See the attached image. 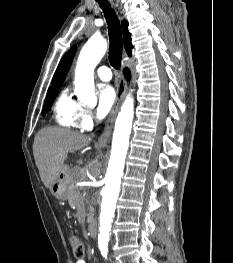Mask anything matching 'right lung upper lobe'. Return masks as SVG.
<instances>
[{
	"instance_id": "cb5924a9",
	"label": "right lung upper lobe",
	"mask_w": 233,
	"mask_h": 263,
	"mask_svg": "<svg viewBox=\"0 0 233 263\" xmlns=\"http://www.w3.org/2000/svg\"><path fill=\"white\" fill-rule=\"evenodd\" d=\"M128 27V22L127 21H123L122 22V31H123V39H124V46L126 49V52L128 53L129 56L132 55V44H131V35L127 30ZM76 51V47H73L60 61L56 72L53 76L52 79V86L49 88H56V87H60L63 83V81L65 80L66 74L71 66L74 54Z\"/></svg>"
}]
</instances>
